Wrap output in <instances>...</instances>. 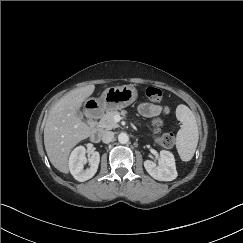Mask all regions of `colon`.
Wrapping results in <instances>:
<instances>
[{
	"label": "colon",
	"instance_id": "5ec220e1",
	"mask_svg": "<svg viewBox=\"0 0 243 243\" xmlns=\"http://www.w3.org/2000/svg\"><path fill=\"white\" fill-rule=\"evenodd\" d=\"M146 95L153 103H160L163 98V93L156 87H149L146 89ZM162 120L154 118L152 120V136L155 141L165 148H171L175 144V136L172 133H162Z\"/></svg>",
	"mask_w": 243,
	"mask_h": 243
}]
</instances>
